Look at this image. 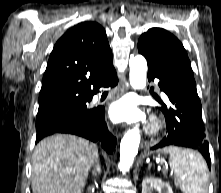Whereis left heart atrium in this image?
<instances>
[{"mask_svg":"<svg viewBox=\"0 0 221 193\" xmlns=\"http://www.w3.org/2000/svg\"><path fill=\"white\" fill-rule=\"evenodd\" d=\"M108 114L114 122L133 123L144 120L143 112L131 97H123L113 102L109 106Z\"/></svg>","mask_w":221,"mask_h":193,"instance_id":"1","label":"left heart atrium"}]
</instances>
